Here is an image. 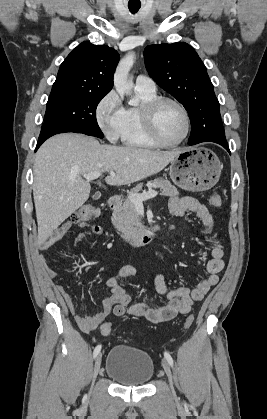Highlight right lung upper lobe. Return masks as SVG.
Segmentation results:
<instances>
[{
    "label": "right lung upper lobe",
    "mask_w": 267,
    "mask_h": 419,
    "mask_svg": "<svg viewBox=\"0 0 267 419\" xmlns=\"http://www.w3.org/2000/svg\"><path fill=\"white\" fill-rule=\"evenodd\" d=\"M119 59L118 52L107 45L82 42L60 65L51 94L109 93Z\"/></svg>",
    "instance_id": "obj_1"
}]
</instances>
